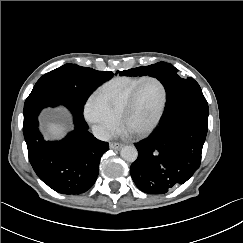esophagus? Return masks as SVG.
<instances>
[{
    "label": "esophagus",
    "mask_w": 243,
    "mask_h": 243,
    "mask_svg": "<svg viewBox=\"0 0 243 243\" xmlns=\"http://www.w3.org/2000/svg\"><path fill=\"white\" fill-rule=\"evenodd\" d=\"M122 144L121 143H117V142H112L110 143V148L113 150H119L122 148Z\"/></svg>",
    "instance_id": "esophagus-1"
}]
</instances>
